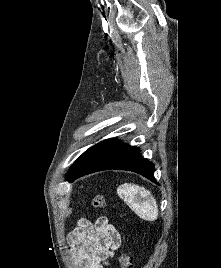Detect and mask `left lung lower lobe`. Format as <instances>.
I'll list each match as a JSON object with an SVG mask.
<instances>
[{
	"label": "left lung lower lobe",
	"instance_id": "left-lung-lower-lobe-1",
	"mask_svg": "<svg viewBox=\"0 0 221 268\" xmlns=\"http://www.w3.org/2000/svg\"><path fill=\"white\" fill-rule=\"evenodd\" d=\"M108 169L133 171L157 183L153 163L141 157L137 147L116 139L102 141L84 152L68 170L66 180L73 182L89 173Z\"/></svg>",
	"mask_w": 221,
	"mask_h": 268
}]
</instances>
